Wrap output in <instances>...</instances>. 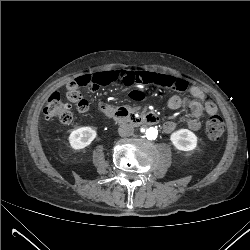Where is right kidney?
Listing matches in <instances>:
<instances>
[{
  "label": "right kidney",
  "instance_id": "right-kidney-1",
  "mask_svg": "<svg viewBox=\"0 0 250 250\" xmlns=\"http://www.w3.org/2000/svg\"><path fill=\"white\" fill-rule=\"evenodd\" d=\"M70 135L68 136V140H69V147L71 148H75L77 145H81L82 144V140L87 137L88 134L93 133L91 129L86 128V127H80V128H76L73 130L69 131ZM91 139L93 138V134L90 137ZM86 157V155L84 156ZM83 159V157H81V160Z\"/></svg>",
  "mask_w": 250,
  "mask_h": 250
}]
</instances>
